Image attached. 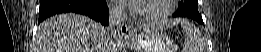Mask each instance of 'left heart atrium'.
Instances as JSON below:
<instances>
[{
    "label": "left heart atrium",
    "mask_w": 261,
    "mask_h": 52,
    "mask_svg": "<svg viewBox=\"0 0 261 52\" xmlns=\"http://www.w3.org/2000/svg\"><path fill=\"white\" fill-rule=\"evenodd\" d=\"M118 2L122 3V4H128L131 5L133 3L137 4L138 1L135 0H118Z\"/></svg>",
    "instance_id": "39dd6f15"
}]
</instances>
